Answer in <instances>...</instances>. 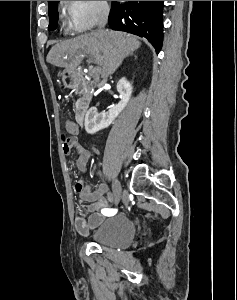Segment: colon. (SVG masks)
Listing matches in <instances>:
<instances>
[{
	"label": "colon",
	"instance_id": "obj_1",
	"mask_svg": "<svg viewBox=\"0 0 237 300\" xmlns=\"http://www.w3.org/2000/svg\"><path fill=\"white\" fill-rule=\"evenodd\" d=\"M63 144H64V150L72 151L78 149L79 145L78 142L70 137H64L63 138Z\"/></svg>",
	"mask_w": 237,
	"mask_h": 300
}]
</instances>
